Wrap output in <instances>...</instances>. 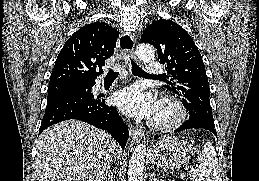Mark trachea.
<instances>
[{"mask_svg": "<svg viewBox=\"0 0 259 181\" xmlns=\"http://www.w3.org/2000/svg\"><path fill=\"white\" fill-rule=\"evenodd\" d=\"M131 60V71L134 75L137 76H151L147 74L141 67H139L132 59ZM119 72L114 71L113 69H109L106 78H116ZM153 77L162 78V75H152Z\"/></svg>", "mask_w": 259, "mask_h": 181, "instance_id": "trachea-1", "label": "trachea"}]
</instances>
